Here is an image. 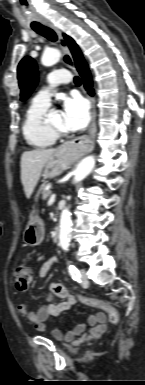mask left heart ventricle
I'll return each mask as SVG.
<instances>
[{
	"label": "left heart ventricle",
	"mask_w": 145,
	"mask_h": 385,
	"mask_svg": "<svg viewBox=\"0 0 145 385\" xmlns=\"http://www.w3.org/2000/svg\"><path fill=\"white\" fill-rule=\"evenodd\" d=\"M49 122L52 126L67 131L65 125H64V118L62 113H54L50 116Z\"/></svg>",
	"instance_id": "b2bd125f"
}]
</instances>
